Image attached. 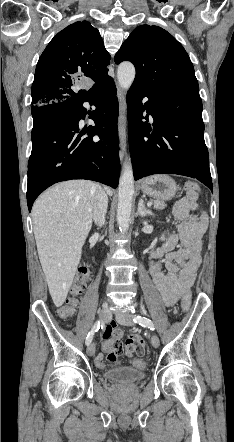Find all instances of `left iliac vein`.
<instances>
[{
  "mask_svg": "<svg viewBox=\"0 0 234 442\" xmlns=\"http://www.w3.org/2000/svg\"><path fill=\"white\" fill-rule=\"evenodd\" d=\"M116 320L120 324L125 325V326L133 325L132 317L128 313H125V312L118 313L116 315ZM151 344H152V346L154 348L159 347L160 340H159V337L156 334H152V336H151Z\"/></svg>",
  "mask_w": 234,
  "mask_h": 442,
  "instance_id": "obj_1",
  "label": "left iliac vein"
}]
</instances>
